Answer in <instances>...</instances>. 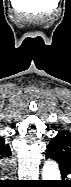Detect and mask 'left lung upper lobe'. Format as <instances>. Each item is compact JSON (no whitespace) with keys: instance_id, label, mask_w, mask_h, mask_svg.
I'll use <instances>...</instances> for the list:
<instances>
[{"instance_id":"left-lung-upper-lobe-1","label":"left lung upper lobe","mask_w":71,"mask_h":187,"mask_svg":"<svg viewBox=\"0 0 71 187\" xmlns=\"http://www.w3.org/2000/svg\"><path fill=\"white\" fill-rule=\"evenodd\" d=\"M47 151L57 156L71 166V132L61 130L53 137L47 147Z\"/></svg>"}]
</instances>
